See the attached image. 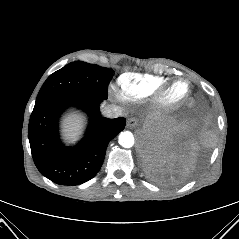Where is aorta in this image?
<instances>
[{
  "mask_svg": "<svg viewBox=\"0 0 239 239\" xmlns=\"http://www.w3.org/2000/svg\"><path fill=\"white\" fill-rule=\"evenodd\" d=\"M118 142L124 148H131L134 146L135 139L130 131H124L120 133Z\"/></svg>",
  "mask_w": 239,
  "mask_h": 239,
  "instance_id": "aorta-1",
  "label": "aorta"
}]
</instances>
